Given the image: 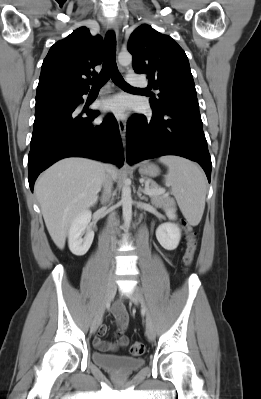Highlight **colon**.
Here are the masks:
<instances>
[{
    "label": "colon",
    "instance_id": "1",
    "mask_svg": "<svg viewBox=\"0 0 261 399\" xmlns=\"http://www.w3.org/2000/svg\"><path fill=\"white\" fill-rule=\"evenodd\" d=\"M186 230L187 246L183 256V262L188 267L192 264L194 255L197 248V233L194 229L188 225H184ZM145 346L141 342H134L130 346V353L133 356H139L143 354Z\"/></svg>",
    "mask_w": 261,
    "mask_h": 399
}]
</instances>
